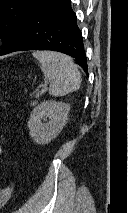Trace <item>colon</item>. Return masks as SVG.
Masks as SVG:
<instances>
[{
	"mask_svg": "<svg viewBox=\"0 0 128 213\" xmlns=\"http://www.w3.org/2000/svg\"><path fill=\"white\" fill-rule=\"evenodd\" d=\"M12 192V187L7 186L6 188L0 190V208L6 203L9 199Z\"/></svg>",
	"mask_w": 128,
	"mask_h": 213,
	"instance_id": "5ec220e1",
	"label": "colon"
}]
</instances>
